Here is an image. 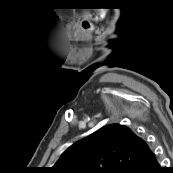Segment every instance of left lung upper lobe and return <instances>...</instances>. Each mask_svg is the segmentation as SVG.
Segmentation results:
<instances>
[{
  "label": "left lung upper lobe",
  "mask_w": 173,
  "mask_h": 173,
  "mask_svg": "<svg viewBox=\"0 0 173 173\" xmlns=\"http://www.w3.org/2000/svg\"><path fill=\"white\" fill-rule=\"evenodd\" d=\"M152 150L124 125L102 127L70 146L53 166L54 173H136Z\"/></svg>",
  "instance_id": "1"
}]
</instances>
